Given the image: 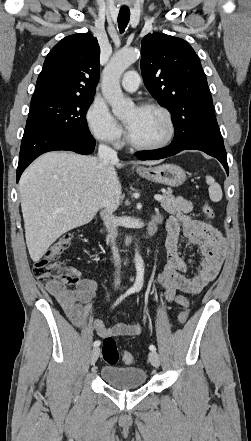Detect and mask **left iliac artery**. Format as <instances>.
<instances>
[{
    "instance_id": "left-iliac-artery-1",
    "label": "left iliac artery",
    "mask_w": 251,
    "mask_h": 441,
    "mask_svg": "<svg viewBox=\"0 0 251 441\" xmlns=\"http://www.w3.org/2000/svg\"><path fill=\"white\" fill-rule=\"evenodd\" d=\"M149 349H150L151 351H156V347H155L154 345H150V346H149Z\"/></svg>"
}]
</instances>
